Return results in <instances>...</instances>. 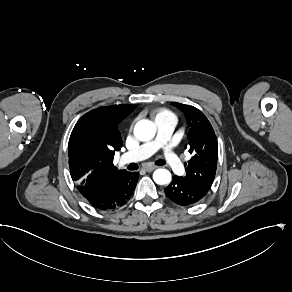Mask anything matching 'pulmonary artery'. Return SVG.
I'll use <instances>...</instances> for the list:
<instances>
[{
	"label": "pulmonary artery",
	"instance_id": "obj_1",
	"mask_svg": "<svg viewBox=\"0 0 292 292\" xmlns=\"http://www.w3.org/2000/svg\"><path fill=\"white\" fill-rule=\"evenodd\" d=\"M157 122L159 128L156 136L142 147L134 148L132 156L136 160H141L151 157L160 150L161 157L168 166L175 171H180L184 167V162L170 146L172 143L171 132L177 124V118L168 113H161L157 117ZM121 163H124L123 160Z\"/></svg>",
	"mask_w": 292,
	"mask_h": 292
}]
</instances>
